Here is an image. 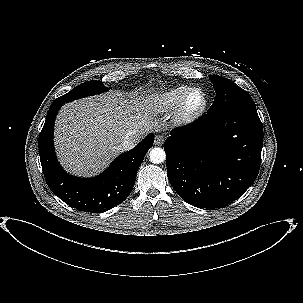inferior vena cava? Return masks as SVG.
I'll use <instances>...</instances> for the list:
<instances>
[{
  "label": "inferior vena cava",
  "mask_w": 303,
  "mask_h": 303,
  "mask_svg": "<svg viewBox=\"0 0 303 303\" xmlns=\"http://www.w3.org/2000/svg\"><path fill=\"white\" fill-rule=\"evenodd\" d=\"M142 137L143 136H141L140 134H138L135 131L128 132L121 142V145H120L121 149L123 151L132 149L136 145V143L140 141V139Z\"/></svg>",
  "instance_id": "1"
}]
</instances>
